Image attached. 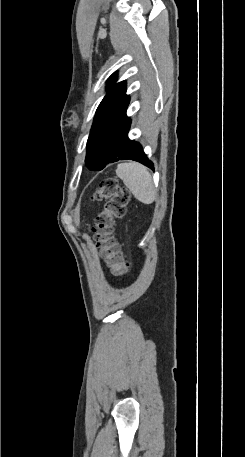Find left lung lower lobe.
Masks as SVG:
<instances>
[{"mask_svg": "<svg viewBox=\"0 0 245 457\" xmlns=\"http://www.w3.org/2000/svg\"><path fill=\"white\" fill-rule=\"evenodd\" d=\"M130 118L122 114L116 120L91 130L87 142L86 166L90 170H102L107 164L119 160H134L153 169L142 146L128 138Z\"/></svg>", "mask_w": 245, "mask_h": 457, "instance_id": "1", "label": "left lung lower lobe"}]
</instances>
